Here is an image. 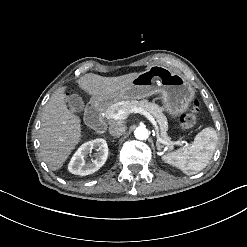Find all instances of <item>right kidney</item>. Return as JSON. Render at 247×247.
Returning a JSON list of instances; mask_svg holds the SVG:
<instances>
[{
	"instance_id": "1",
	"label": "right kidney",
	"mask_w": 247,
	"mask_h": 247,
	"mask_svg": "<svg viewBox=\"0 0 247 247\" xmlns=\"http://www.w3.org/2000/svg\"><path fill=\"white\" fill-rule=\"evenodd\" d=\"M93 148L97 149L95 159L85 163L83 159L91 153ZM108 157L107 142L102 138H96L82 143L72 155L68 163V171L75 175L86 176L99 170Z\"/></svg>"
}]
</instances>
